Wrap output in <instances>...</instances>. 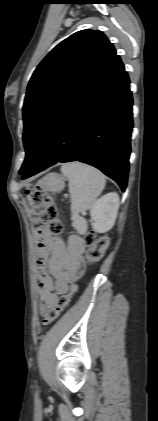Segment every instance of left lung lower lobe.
Returning a JSON list of instances; mask_svg holds the SVG:
<instances>
[{
	"label": "left lung lower lobe",
	"mask_w": 158,
	"mask_h": 421,
	"mask_svg": "<svg viewBox=\"0 0 158 421\" xmlns=\"http://www.w3.org/2000/svg\"><path fill=\"white\" fill-rule=\"evenodd\" d=\"M129 78L114 55L60 114L22 179L58 163L100 169L125 191L133 128Z\"/></svg>",
	"instance_id": "obj_1"
}]
</instances>
